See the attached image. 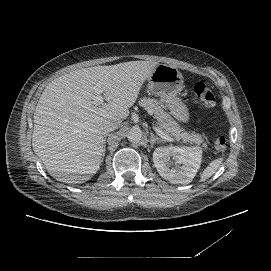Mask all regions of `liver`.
I'll return each instance as SVG.
<instances>
[{
    "label": "liver",
    "instance_id": "obj_1",
    "mask_svg": "<svg viewBox=\"0 0 271 271\" xmlns=\"http://www.w3.org/2000/svg\"><path fill=\"white\" fill-rule=\"evenodd\" d=\"M157 65L129 61L83 68L46 86L34 112L32 147L53 178L83 183L99 170L105 152L102 125L128 117L141 86ZM97 83L107 103L93 104Z\"/></svg>",
    "mask_w": 271,
    "mask_h": 271
}]
</instances>
